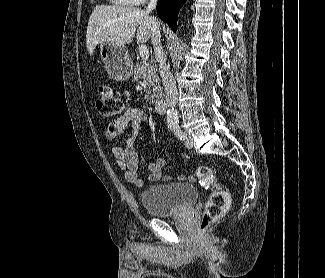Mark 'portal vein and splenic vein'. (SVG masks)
<instances>
[{
	"mask_svg": "<svg viewBox=\"0 0 325 278\" xmlns=\"http://www.w3.org/2000/svg\"><path fill=\"white\" fill-rule=\"evenodd\" d=\"M138 49H139V54H140L141 58L144 61H146L149 58V50H148L147 46L144 44H140Z\"/></svg>",
	"mask_w": 325,
	"mask_h": 278,
	"instance_id": "18ae733b",
	"label": "portal vein and splenic vein"
}]
</instances>
